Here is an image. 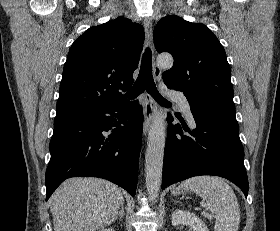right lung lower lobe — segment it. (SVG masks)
Returning <instances> with one entry per match:
<instances>
[{
  "label": "right lung lower lobe",
  "mask_w": 280,
  "mask_h": 231,
  "mask_svg": "<svg viewBox=\"0 0 280 231\" xmlns=\"http://www.w3.org/2000/svg\"><path fill=\"white\" fill-rule=\"evenodd\" d=\"M142 128L143 111L137 102L54 121L45 176L46 201L65 179L76 176L107 179L134 196ZM109 130L111 134H104Z\"/></svg>",
  "instance_id": "98d812e1"
}]
</instances>
